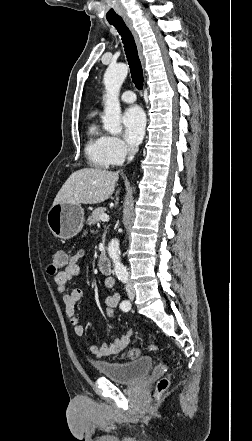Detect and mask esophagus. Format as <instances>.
Here are the masks:
<instances>
[{"label":"esophagus","mask_w":252,"mask_h":441,"mask_svg":"<svg viewBox=\"0 0 252 441\" xmlns=\"http://www.w3.org/2000/svg\"><path fill=\"white\" fill-rule=\"evenodd\" d=\"M124 22H125V24L127 25V27L129 28V30L131 31V33H132V35H133V37H134V40H135V42H136V45H137V48H138V52H139L140 58H141V60L143 61V56H142V45H141V42H140V39H139L138 33H137V31H136V29H135V27H134V25H133V22H132V20H131L129 17H125V18H124Z\"/></svg>","instance_id":"1"}]
</instances>
